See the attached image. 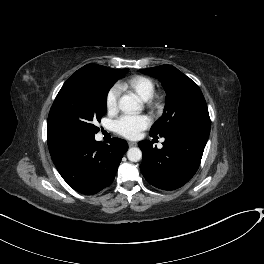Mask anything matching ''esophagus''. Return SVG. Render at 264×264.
Returning <instances> with one entry per match:
<instances>
[{"instance_id":"esophagus-1","label":"esophagus","mask_w":264,"mask_h":264,"mask_svg":"<svg viewBox=\"0 0 264 264\" xmlns=\"http://www.w3.org/2000/svg\"><path fill=\"white\" fill-rule=\"evenodd\" d=\"M128 145H129V147H133V146H136L137 145V143H135V142H128Z\"/></svg>"}]
</instances>
